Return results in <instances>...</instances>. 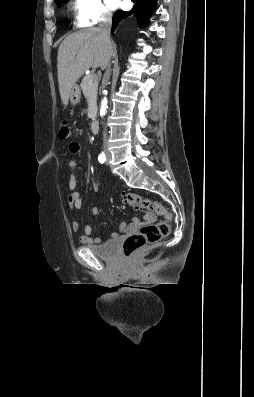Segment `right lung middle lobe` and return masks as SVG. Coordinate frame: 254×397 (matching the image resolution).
Returning <instances> with one entry per match:
<instances>
[{
	"instance_id": "obj_1",
	"label": "right lung middle lobe",
	"mask_w": 254,
	"mask_h": 397,
	"mask_svg": "<svg viewBox=\"0 0 254 397\" xmlns=\"http://www.w3.org/2000/svg\"><path fill=\"white\" fill-rule=\"evenodd\" d=\"M68 0H56L55 3L57 6H60L62 3H66Z\"/></svg>"
}]
</instances>
